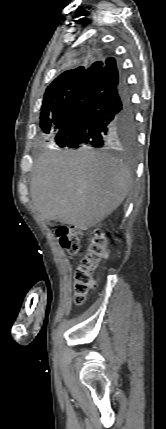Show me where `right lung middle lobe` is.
I'll return each mask as SVG.
<instances>
[{
	"mask_svg": "<svg viewBox=\"0 0 166 429\" xmlns=\"http://www.w3.org/2000/svg\"><path fill=\"white\" fill-rule=\"evenodd\" d=\"M82 78L83 75L71 76L47 88L40 116V127L44 133L49 134L53 130H59ZM113 142L133 146L135 143V124L128 128L117 129L108 143Z\"/></svg>",
	"mask_w": 166,
	"mask_h": 429,
	"instance_id": "obj_1",
	"label": "right lung middle lobe"
}]
</instances>
